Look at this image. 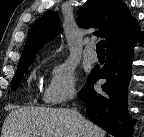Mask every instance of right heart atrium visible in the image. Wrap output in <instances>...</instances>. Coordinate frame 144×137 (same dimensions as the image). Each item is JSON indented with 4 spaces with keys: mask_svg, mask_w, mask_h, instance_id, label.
Returning <instances> with one entry per match:
<instances>
[{
    "mask_svg": "<svg viewBox=\"0 0 144 137\" xmlns=\"http://www.w3.org/2000/svg\"><path fill=\"white\" fill-rule=\"evenodd\" d=\"M75 81V71L67 62L55 64L43 90L44 102L57 105L72 99L76 93Z\"/></svg>",
    "mask_w": 144,
    "mask_h": 137,
    "instance_id": "obj_1",
    "label": "right heart atrium"
}]
</instances>
